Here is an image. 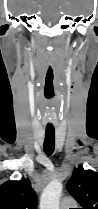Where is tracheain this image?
I'll return each instance as SVG.
<instances>
[{
    "label": "trachea",
    "mask_w": 98,
    "mask_h": 209,
    "mask_svg": "<svg viewBox=\"0 0 98 209\" xmlns=\"http://www.w3.org/2000/svg\"><path fill=\"white\" fill-rule=\"evenodd\" d=\"M44 152L51 155L55 149V130L53 127H47L44 140Z\"/></svg>",
    "instance_id": "obj_1"
}]
</instances>
